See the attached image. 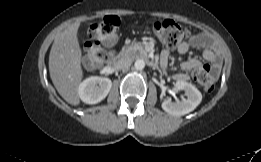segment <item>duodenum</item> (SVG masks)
Listing matches in <instances>:
<instances>
[{
  "label": "duodenum",
  "mask_w": 261,
  "mask_h": 162,
  "mask_svg": "<svg viewBox=\"0 0 261 162\" xmlns=\"http://www.w3.org/2000/svg\"><path fill=\"white\" fill-rule=\"evenodd\" d=\"M138 56L143 58L147 64L150 66L156 68L158 67V63L149 58L147 52L144 49L138 48L134 51ZM104 65L101 63L99 64L102 69L107 70V71H112V69H115L120 61V59L117 57L116 54H114L113 51L108 52V54L104 57Z\"/></svg>",
  "instance_id": "410a0bca"
}]
</instances>
